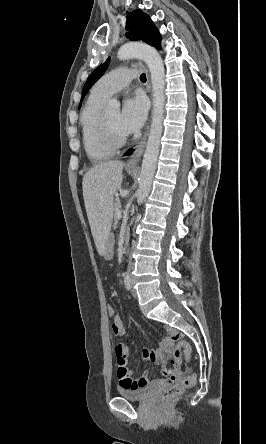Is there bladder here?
<instances>
[{"instance_id": "bladder-1", "label": "bladder", "mask_w": 266, "mask_h": 444, "mask_svg": "<svg viewBox=\"0 0 266 444\" xmlns=\"http://www.w3.org/2000/svg\"><path fill=\"white\" fill-rule=\"evenodd\" d=\"M153 386H146L139 389H124L121 388L119 390V395L122 398H125L130 401H144L146 400L151 392L153 391Z\"/></svg>"}]
</instances>
